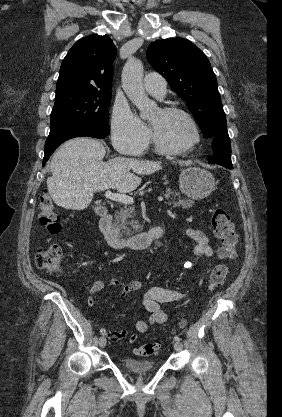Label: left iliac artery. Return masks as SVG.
Returning a JSON list of instances; mask_svg holds the SVG:
<instances>
[{"label":"left iliac artery","mask_w":282,"mask_h":417,"mask_svg":"<svg viewBox=\"0 0 282 417\" xmlns=\"http://www.w3.org/2000/svg\"><path fill=\"white\" fill-rule=\"evenodd\" d=\"M174 340H175V341H180L181 339H180V337H179V336H175V337H174Z\"/></svg>","instance_id":"44dca946"}]
</instances>
